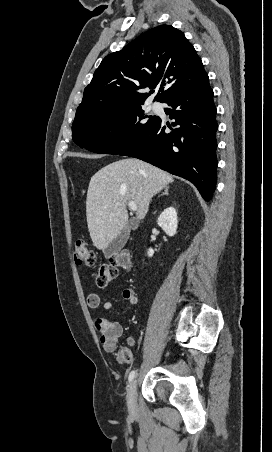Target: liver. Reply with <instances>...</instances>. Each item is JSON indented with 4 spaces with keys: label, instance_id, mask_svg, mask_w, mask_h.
<instances>
[{
    "label": "liver",
    "instance_id": "6515ba94",
    "mask_svg": "<svg viewBox=\"0 0 272 452\" xmlns=\"http://www.w3.org/2000/svg\"><path fill=\"white\" fill-rule=\"evenodd\" d=\"M173 177L139 159L110 163L96 172L86 199L88 230L94 246L104 250L128 223L127 202L137 204L136 218H145L153 196Z\"/></svg>",
    "mask_w": 272,
    "mask_h": 452
}]
</instances>
